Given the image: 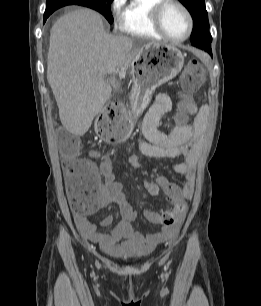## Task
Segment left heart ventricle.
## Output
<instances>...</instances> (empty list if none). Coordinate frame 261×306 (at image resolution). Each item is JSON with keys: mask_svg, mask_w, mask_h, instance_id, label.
Masks as SVG:
<instances>
[{"mask_svg": "<svg viewBox=\"0 0 261 306\" xmlns=\"http://www.w3.org/2000/svg\"><path fill=\"white\" fill-rule=\"evenodd\" d=\"M162 24L173 38H182L187 33V19L182 10L174 5L167 6L163 11Z\"/></svg>", "mask_w": 261, "mask_h": 306, "instance_id": "obj_1", "label": "left heart ventricle"}]
</instances>
